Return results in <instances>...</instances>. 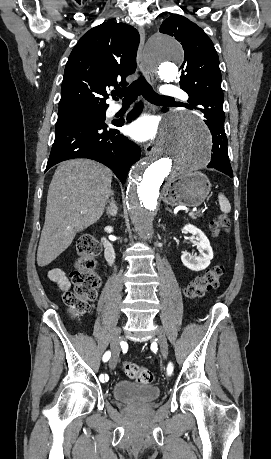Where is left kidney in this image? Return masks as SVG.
I'll return each instance as SVG.
<instances>
[{
    "label": "left kidney",
    "mask_w": 271,
    "mask_h": 459,
    "mask_svg": "<svg viewBox=\"0 0 271 459\" xmlns=\"http://www.w3.org/2000/svg\"><path fill=\"white\" fill-rule=\"evenodd\" d=\"M183 231H190L193 235H196L199 243L200 253L199 255H190V253H182L181 259L189 269H194V271H199V269H206L210 263V259L213 257L212 247L208 237L201 229L192 226V224H187L182 228Z\"/></svg>",
    "instance_id": "obj_1"
}]
</instances>
